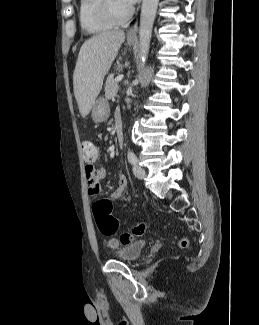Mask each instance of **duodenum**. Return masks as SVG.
I'll return each instance as SVG.
<instances>
[{"label":"duodenum","instance_id":"410a0bca","mask_svg":"<svg viewBox=\"0 0 259 325\" xmlns=\"http://www.w3.org/2000/svg\"><path fill=\"white\" fill-rule=\"evenodd\" d=\"M114 127L117 137V142L121 146L124 142L123 121L120 112L115 115Z\"/></svg>","mask_w":259,"mask_h":325}]
</instances>
